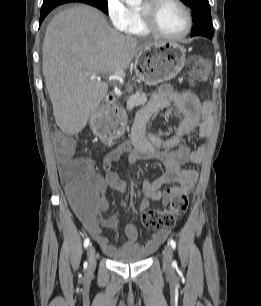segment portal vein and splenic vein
<instances>
[{
  "instance_id": "18ae733b",
  "label": "portal vein and splenic vein",
  "mask_w": 261,
  "mask_h": 306,
  "mask_svg": "<svg viewBox=\"0 0 261 306\" xmlns=\"http://www.w3.org/2000/svg\"><path fill=\"white\" fill-rule=\"evenodd\" d=\"M123 75H124L123 71H116L115 73L110 74L109 78H119L122 77ZM91 77L96 78L97 80L101 79L99 74H92Z\"/></svg>"
}]
</instances>
